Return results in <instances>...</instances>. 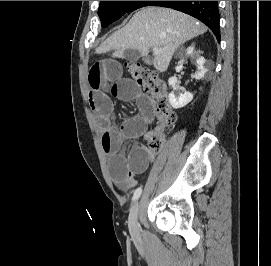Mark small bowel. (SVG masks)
Segmentation results:
<instances>
[{"label":"small bowel","mask_w":271,"mask_h":266,"mask_svg":"<svg viewBox=\"0 0 271 266\" xmlns=\"http://www.w3.org/2000/svg\"><path fill=\"white\" fill-rule=\"evenodd\" d=\"M89 105L96 115V126L101 133V144L109 156V171L114 184L129 190L148 169L154 155L142 143L133 146L128 154L122 151L126 140L149 139L151 114L148 98L136 84L123 77L120 64L115 60L95 63L89 70ZM113 98L135 101L139 112L116 125L113 121Z\"/></svg>","instance_id":"small-bowel-1"}]
</instances>
